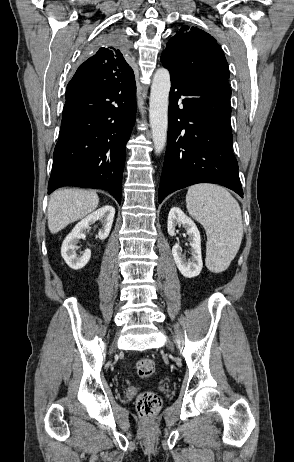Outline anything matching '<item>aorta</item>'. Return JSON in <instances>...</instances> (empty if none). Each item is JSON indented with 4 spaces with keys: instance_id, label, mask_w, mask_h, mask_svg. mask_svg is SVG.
Masks as SVG:
<instances>
[{
    "instance_id": "aorta-1",
    "label": "aorta",
    "mask_w": 294,
    "mask_h": 462,
    "mask_svg": "<svg viewBox=\"0 0 294 462\" xmlns=\"http://www.w3.org/2000/svg\"><path fill=\"white\" fill-rule=\"evenodd\" d=\"M171 87L170 74L165 68L158 69L151 86L149 118L155 153L165 147L168 131V104Z\"/></svg>"
}]
</instances>
